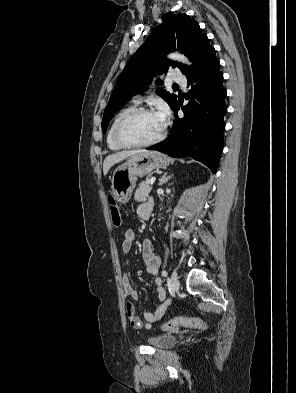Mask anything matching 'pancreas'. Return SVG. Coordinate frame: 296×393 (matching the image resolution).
Listing matches in <instances>:
<instances>
[{
	"label": "pancreas",
	"mask_w": 296,
	"mask_h": 393,
	"mask_svg": "<svg viewBox=\"0 0 296 393\" xmlns=\"http://www.w3.org/2000/svg\"><path fill=\"white\" fill-rule=\"evenodd\" d=\"M150 191H151L150 181L149 180L142 181L139 184V187L135 191L134 199L137 202H144L147 200Z\"/></svg>",
	"instance_id": "obj_1"
}]
</instances>
